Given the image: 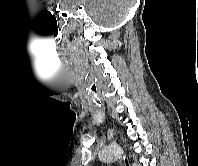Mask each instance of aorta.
<instances>
[{
	"instance_id": "obj_1",
	"label": "aorta",
	"mask_w": 198,
	"mask_h": 166,
	"mask_svg": "<svg viewBox=\"0 0 198 166\" xmlns=\"http://www.w3.org/2000/svg\"><path fill=\"white\" fill-rule=\"evenodd\" d=\"M123 150L117 145H110L101 150L99 158L101 161L110 162L115 161L121 158ZM132 166H138L136 163H133Z\"/></svg>"
}]
</instances>
